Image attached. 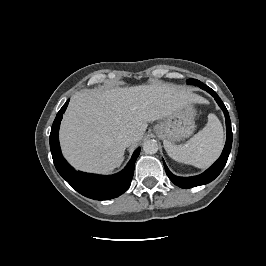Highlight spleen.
<instances>
[{
    "mask_svg": "<svg viewBox=\"0 0 266 266\" xmlns=\"http://www.w3.org/2000/svg\"><path fill=\"white\" fill-rule=\"evenodd\" d=\"M224 144L223 127L214 114L208 115L203 130L195 134L186 144H164L168 155L177 162L198 168L210 166L220 155Z\"/></svg>",
    "mask_w": 266,
    "mask_h": 266,
    "instance_id": "spleen-1",
    "label": "spleen"
}]
</instances>
